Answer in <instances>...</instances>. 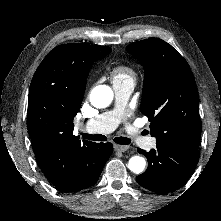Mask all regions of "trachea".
Returning <instances> with one entry per match:
<instances>
[{
	"mask_svg": "<svg viewBox=\"0 0 221 221\" xmlns=\"http://www.w3.org/2000/svg\"><path fill=\"white\" fill-rule=\"evenodd\" d=\"M83 138L92 140V141H106L107 137L101 134H96V135H91L87 133H82ZM115 143L120 144V145H128L130 144V139L125 138V137H116L113 140Z\"/></svg>",
	"mask_w": 221,
	"mask_h": 221,
	"instance_id": "obj_1",
	"label": "trachea"
}]
</instances>
